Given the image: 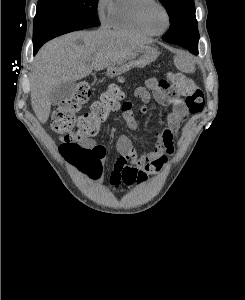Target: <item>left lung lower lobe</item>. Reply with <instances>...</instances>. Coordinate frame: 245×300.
I'll return each mask as SVG.
<instances>
[{"label":"left lung lower lobe","instance_id":"1","mask_svg":"<svg viewBox=\"0 0 245 300\" xmlns=\"http://www.w3.org/2000/svg\"><path fill=\"white\" fill-rule=\"evenodd\" d=\"M198 41H199V39L195 42L194 46H191L190 42L187 39H184L183 41H177L173 44L183 46L186 49H188L190 52L197 54L198 53Z\"/></svg>","mask_w":245,"mask_h":300}]
</instances>
